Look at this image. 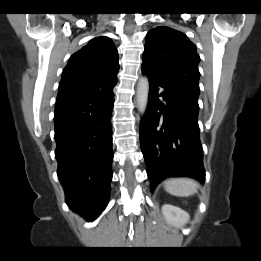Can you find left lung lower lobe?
<instances>
[{"instance_id":"left-lung-lower-lobe-1","label":"left lung lower lobe","mask_w":261,"mask_h":261,"mask_svg":"<svg viewBox=\"0 0 261 261\" xmlns=\"http://www.w3.org/2000/svg\"><path fill=\"white\" fill-rule=\"evenodd\" d=\"M142 72L149 78L150 91L140 126V143L151 192L167 177L187 176L204 181L199 93L145 69Z\"/></svg>"}]
</instances>
